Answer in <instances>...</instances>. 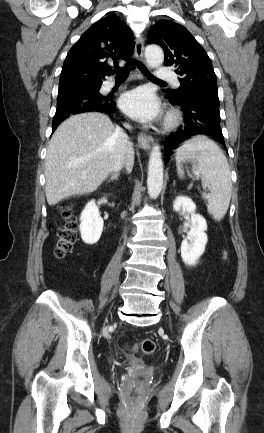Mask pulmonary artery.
<instances>
[{"label":"pulmonary artery","mask_w":264,"mask_h":433,"mask_svg":"<svg viewBox=\"0 0 264 433\" xmlns=\"http://www.w3.org/2000/svg\"><path fill=\"white\" fill-rule=\"evenodd\" d=\"M156 77L160 80H173L175 85H179V82L175 80L173 71L166 67H159L157 69ZM113 86L112 82L106 84V88H111Z\"/></svg>","instance_id":"e3ab8cb5"}]
</instances>
